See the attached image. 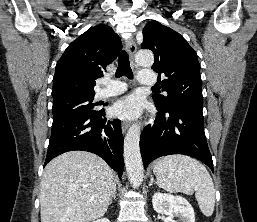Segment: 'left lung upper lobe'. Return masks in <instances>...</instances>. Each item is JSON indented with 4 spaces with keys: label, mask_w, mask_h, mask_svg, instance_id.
<instances>
[{
    "label": "left lung upper lobe",
    "mask_w": 257,
    "mask_h": 222,
    "mask_svg": "<svg viewBox=\"0 0 257 222\" xmlns=\"http://www.w3.org/2000/svg\"><path fill=\"white\" fill-rule=\"evenodd\" d=\"M143 49L154 53L152 69L165 76L160 82L167 96L154 95L156 108L167 111L182 107L202 111L200 64L197 54L187 41L171 28L157 21L148 22L143 29Z\"/></svg>",
    "instance_id": "left-lung-upper-lobe-1"
}]
</instances>
